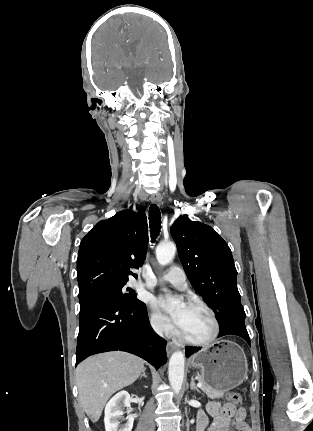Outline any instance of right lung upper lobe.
<instances>
[{
	"mask_svg": "<svg viewBox=\"0 0 313 431\" xmlns=\"http://www.w3.org/2000/svg\"><path fill=\"white\" fill-rule=\"evenodd\" d=\"M148 226L143 212L124 210L98 222L82 239L77 258L79 298L126 284L146 256Z\"/></svg>",
	"mask_w": 313,
	"mask_h": 431,
	"instance_id": "1",
	"label": "right lung upper lobe"
}]
</instances>
